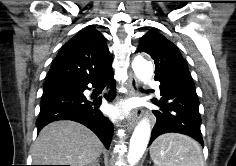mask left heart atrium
<instances>
[{
  "mask_svg": "<svg viewBox=\"0 0 236 166\" xmlns=\"http://www.w3.org/2000/svg\"><path fill=\"white\" fill-rule=\"evenodd\" d=\"M110 114L113 116L117 115V110L115 109L110 110Z\"/></svg>",
  "mask_w": 236,
  "mask_h": 166,
  "instance_id": "obj_1",
  "label": "left heart atrium"
}]
</instances>
